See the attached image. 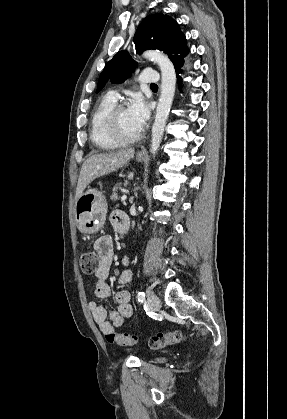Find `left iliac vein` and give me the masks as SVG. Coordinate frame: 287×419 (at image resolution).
Instances as JSON below:
<instances>
[{
  "mask_svg": "<svg viewBox=\"0 0 287 419\" xmlns=\"http://www.w3.org/2000/svg\"><path fill=\"white\" fill-rule=\"evenodd\" d=\"M147 302L151 310L157 311L161 308L160 299L150 290H147Z\"/></svg>",
  "mask_w": 287,
  "mask_h": 419,
  "instance_id": "4c4485c4",
  "label": "left iliac vein"
}]
</instances>
